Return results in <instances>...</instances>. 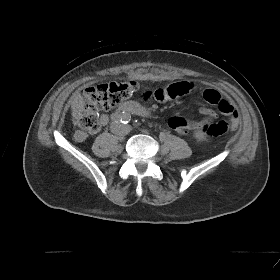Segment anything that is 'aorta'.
I'll return each instance as SVG.
<instances>
[{"instance_id":"obj_1","label":"aorta","mask_w":280,"mask_h":280,"mask_svg":"<svg viewBox=\"0 0 280 280\" xmlns=\"http://www.w3.org/2000/svg\"><path fill=\"white\" fill-rule=\"evenodd\" d=\"M122 119H123V120H127V119H128V114H126V113H125V114H122Z\"/></svg>"}]
</instances>
